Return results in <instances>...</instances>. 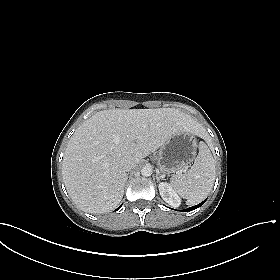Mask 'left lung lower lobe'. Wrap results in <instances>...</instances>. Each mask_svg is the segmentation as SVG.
<instances>
[{
	"instance_id": "obj_1",
	"label": "left lung lower lobe",
	"mask_w": 280,
	"mask_h": 280,
	"mask_svg": "<svg viewBox=\"0 0 280 280\" xmlns=\"http://www.w3.org/2000/svg\"><path fill=\"white\" fill-rule=\"evenodd\" d=\"M204 202H205V200H204L202 203H200V204H198V205H196V206H193V207H191V208H188V209L183 210V212L194 210V209L200 207Z\"/></svg>"
}]
</instances>
